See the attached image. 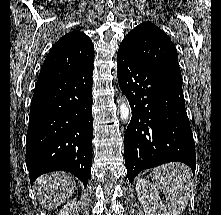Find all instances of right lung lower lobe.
<instances>
[{"label":"right lung lower lobe","instance_id":"right-lung-lower-lobe-1","mask_svg":"<svg viewBox=\"0 0 221 215\" xmlns=\"http://www.w3.org/2000/svg\"><path fill=\"white\" fill-rule=\"evenodd\" d=\"M93 61L67 77L36 86L26 139L31 182L44 173L63 170L87 185L92 161Z\"/></svg>","mask_w":221,"mask_h":215}]
</instances>
